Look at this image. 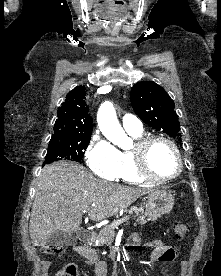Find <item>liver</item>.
<instances>
[{
  "label": "liver",
  "mask_w": 221,
  "mask_h": 276,
  "mask_svg": "<svg viewBox=\"0 0 221 276\" xmlns=\"http://www.w3.org/2000/svg\"><path fill=\"white\" fill-rule=\"evenodd\" d=\"M151 191L97 179L77 163L62 161L47 165L38 177L32 205L29 223L32 244L44 246L56 230L78 231L84 210L91 220H102Z\"/></svg>",
  "instance_id": "6515ba94"
}]
</instances>
